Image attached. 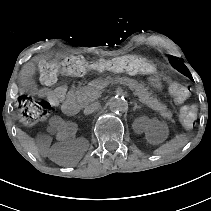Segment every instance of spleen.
Instances as JSON below:
<instances>
[{
  "mask_svg": "<svg viewBox=\"0 0 211 211\" xmlns=\"http://www.w3.org/2000/svg\"><path fill=\"white\" fill-rule=\"evenodd\" d=\"M188 138L184 134L176 135L174 139L171 141L163 144L158 149L154 151V154L156 155H167L172 154L184 145L188 143Z\"/></svg>",
  "mask_w": 211,
  "mask_h": 211,
  "instance_id": "3e777b00",
  "label": "spleen"
}]
</instances>
